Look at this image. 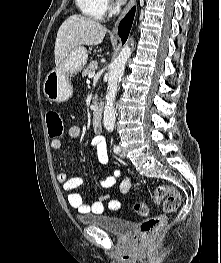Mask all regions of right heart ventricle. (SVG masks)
<instances>
[{
  "label": "right heart ventricle",
  "instance_id": "e07e8e85",
  "mask_svg": "<svg viewBox=\"0 0 221 263\" xmlns=\"http://www.w3.org/2000/svg\"><path fill=\"white\" fill-rule=\"evenodd\" d=\"M80 12L94 20H102L105 16L106 8L103 0H76Z\"/></svg>",
  "mask_w": 221,
  "mask_h": 263
}]
</instances>
